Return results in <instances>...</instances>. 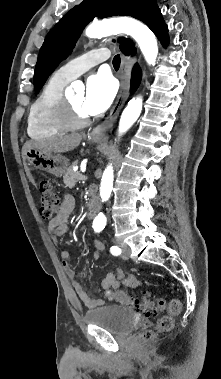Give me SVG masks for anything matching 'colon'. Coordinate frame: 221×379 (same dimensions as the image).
<instances>
[{
  "instance_id": "obj_1",
  "label": "colon",
  "mask_w": 221,
  "mask_h": 379,
  "mask_svg": "<svg viewBox=\"0 0 221 379\" xmlns=\"http://www.w3.org/2000/svg\"><path fill=\"white\" fill-rule=\"evenodd\" d=\"M40 192V215L43 219H52L56 216L60 208L58 195L52 183L48 180L41 181ZM105 295L110 300L142 310L147 316H157L165 309V301L163 299L151 298L148 294H144L142 298L136 299L120 290H107ZM181 309V302L177 299H172L167 306V314L156 321L153 330H146L141 334L142 340L150 341L154 339L157 334L169 332L174 325V316L178 315Z\"/></svg>"
}]
</instances>
